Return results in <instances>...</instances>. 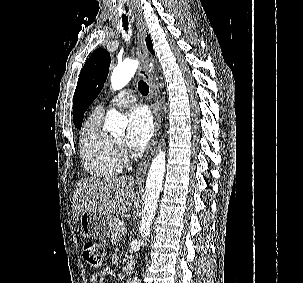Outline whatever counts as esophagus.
Returning a JSON list of instances; mask_svg holds the SVG:
<instances>
[{
  "label": "esophagus",
  "mask_w": 303,
  "mask_h": 283,
  "mask_svg": "<svg viewBox=\"0 0 303 283\" xmlns=\"http://www.w3.org/2000/svg\"><path fill=\"white\" fill-rule=\"evenodd\" d=\"M137 26V55L141 61V66L139 70V76L143 78L149 84V101H150V108L152 110L153 118H154V133L151 139L149 148L138 165L137 172H136V183L141 185L144 183L145 175L147 168L150 164V161L156 151L159 134H160V114H159V104H158V96L156 86L153 82V78L151 72L148 68L149 62V54L145 43L146 37V28L142 22V20L137 19L136 21Z\"/></svg>",
  "instance_id": "obj_1"
}]
</instances>
